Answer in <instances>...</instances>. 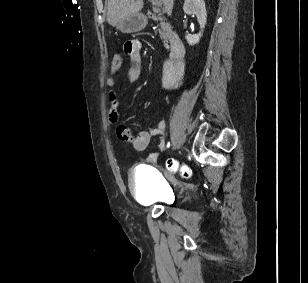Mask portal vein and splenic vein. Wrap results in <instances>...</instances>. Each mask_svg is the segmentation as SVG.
Masks as SVG:
<instances>
[{
  "instance_id": "1",
  "label": "portal vein and splenic vein",
  "mask_w": 308,
  "mask_h": 283,
  "mask_svg": "<svg viewBox=\"0 0 308 283\" xmlns=\"http://www.w3.org/2000/svg\"><path fill=\"white\" fill-rule=\"evenodd\" d=\"M151 1L153 5H155L157 8H159L162 5L161 0H151Z\"/></svg>"
}]
</instances>
